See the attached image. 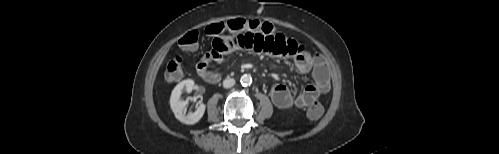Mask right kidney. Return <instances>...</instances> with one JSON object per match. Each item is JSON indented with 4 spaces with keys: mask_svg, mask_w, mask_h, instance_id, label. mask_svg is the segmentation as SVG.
<instances>
[{
    "mask_svg": "<svg viewBox=\"0 0 499 154\" xmlns=\"http://www.w3.org/2000/svg\"><path fill=\"white\" fill-rule=\"evenodd\" d=\"M194 86V81L191 79L183 80L173 89L170 97V106L175 115V117L182 123L187 125H192L197 123L204 115L206 106L204 104H199L194 113L185 115V107L187 101L181 100L180 95L185 89L187 92H191Z\"/></svg>",
    "mask_w": 499,
    "mask_h": 154,
    "instance_id": "obj_1",
    "label": "right kidney"
}]
</instances>
